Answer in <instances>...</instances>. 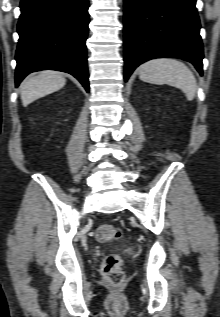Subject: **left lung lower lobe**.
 Listing matches in <instances>:
<instances>
[{
    "mask_svg": "<svg viewBox=\"0 0 220 317\" xmlns=\"http://www.w3.org/2000/svg\"><path fill=\"white\" fill-rule=\"evenodd\" d=\"M196 0H124L125 81L157 57L191 62L202 75L203 45Z\"/></svg>",
    "mask_w": 220,
    "mask_h": 317,
    "instance_id": "0a47b994",
    "label": "left lung lower lobe"
}]
</instances>
